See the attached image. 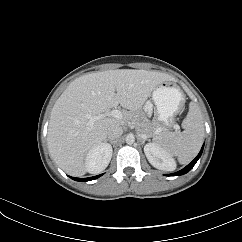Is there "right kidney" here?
<instances>
[{
    "instance_id": "1",
    "label": "right kidney",
    "mask_w": 242,
    "mask_h": 242,
    "mask_svg": "<svg viewBox=\"0 0 242 242\" xmlns=\"http://www.w3.org/2000/svg\"><path fill=\"white\" fill-rule=\"evenodd\" d=\"M112 152V146L106 142L91 148L85 158L87 172L91 174L102 172L108 166Z\"/></svg>"
}]
</instances>
